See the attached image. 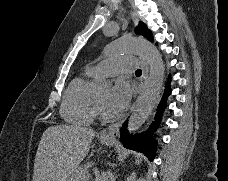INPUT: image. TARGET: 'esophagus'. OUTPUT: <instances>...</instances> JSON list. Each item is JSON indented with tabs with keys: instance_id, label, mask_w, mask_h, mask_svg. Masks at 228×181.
<instances>
[{
	"instance_id": "obj_1",
	"label": "esophagus",
	"mask_w": 228,
	"mask_h": 181,
	"mask_svg": "<svg viewBox=\"0 0 228 181\" xmlns=\"http://www.w3.org/2000/svg\"><path fill=\"white\" fill-rule=\"evenodd\" d=\"M140 60L142 64V75L140 77V83H141L142 91H144L147 84L149 70H148V65L146 60L143 57H140ZM134 106H135V103L132 106L131 110H133ZM127 116H129V114ZM124 120L115 124H111L110 126H107L106 128H104L100 133L101 137H116L119 134V128L122 125Z\"/></svg>"
}]
</instances>
